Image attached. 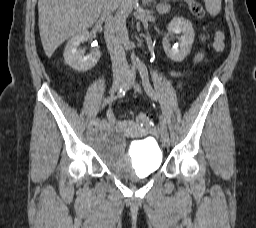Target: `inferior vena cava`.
Masks as SVG:
<instances>
[{
    "label": "inferior vena cava",
    "mask_w": 256,
    "mask_h": 228,
    "mask_svg": "<svg viewBox=\"0 0 256 228\" xmlns=\"http://www.w3.org/2000/svg\"><path fill=\"white\" fill-rule=\"evenodd\" d=\"M118 3L119 0H103V11L105 15H107L105 21L104 36L108 51L111 56L113 74L125 75L128 73L129 67L118 34L116 19L111 16V14L118 7Z\"/></svg>",
    "instance_id": "1"
}]
</instances>
